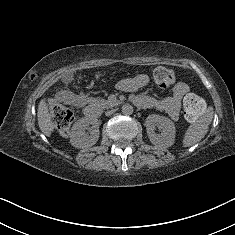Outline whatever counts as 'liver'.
<instances>
[{
  "label": "liver",
  "mask_w": 235,
  "mask_h": 235,
  "mask_svg": "<svg viewBox=\"0 0 235 235\" xmlns=\"http://www.w3.org/2000/svg\"><path fill=\"white\" fill-rule=\"evenodd\" d=\"M37 117L40 130L45 135H50L53 131V126L50 123V115L45 98L42 99L38 104Z\"/></svg>",
  "instance_id": "6515ba94"
}]
</instances>
